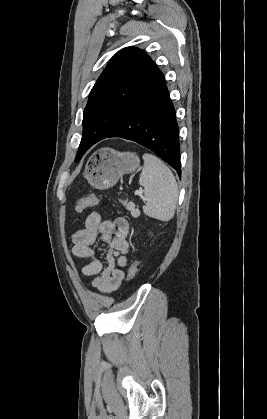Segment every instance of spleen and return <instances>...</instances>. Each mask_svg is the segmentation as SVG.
Returning <instances> with one entry per match:
<instances>
[{
	"instance_id": "spleen-1",
	"label": "spleen",
	"mask_w": 267,
	"mask_h": 419,
	"mask_svg": "<svg viewBox=\"0 0 267 419\" xmlns=\"http://www.w3.org/2000/svg\"><path fill=\"white\" fill-rule=\"evenodd\" d=\"M144 167L139 184L144 187L143 212L152 218L169 221L175 214L178 185L171 170L150 153L143 155Z\"/></svg>"
}]
</instances>
